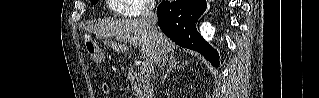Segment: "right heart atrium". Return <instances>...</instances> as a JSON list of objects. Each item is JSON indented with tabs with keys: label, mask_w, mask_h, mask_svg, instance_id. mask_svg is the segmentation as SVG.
Returning <instances> with one entry per match:
<instances>
[{
	"label": "right heart atrium",
	"mask_w": 319,
	"mask_h": 98,
	"mask_svg": "<svg viewBox=\"0 0 319 98\" xmlns=\"http://www.w3.org/2000/svg\"><path fill=\"white\" fill-rule=\"evenodd\" d=\"M125 8L121 11L126 17H137L151 12L152 8L148 1L144 0H124Z\"/></svg>",
	"instance_id": "1"
}]
</instances>
